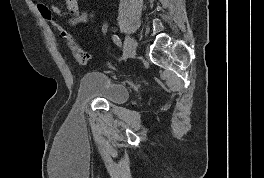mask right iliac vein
Returning a JSON list of instances; mask_svg holds the SVG:
<instances>
[{
	"label": "right iliac vein",
	"mask_w": 264,
	"mask_h": 178,
	"mask_svg": "<svg viewBox=\"0 0 264 178\" xmlns=\"http://www.w3.org/2000/svg\"><path fill=\"white\" fill-rule=\"evenodd\" d=\"M135 48V41L131 36H126L125 38V51L123 58L126 59L133 51Z\"/></svg>",
	"instance_id": "1"
}]
</instances>
